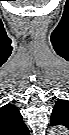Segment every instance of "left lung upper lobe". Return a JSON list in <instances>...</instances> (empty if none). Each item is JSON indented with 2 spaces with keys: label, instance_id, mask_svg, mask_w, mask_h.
I'll return each mask as SVG.
<instances>
[{
  "label": "left lung upper lobe",
  "instance_id": "5c2ea615",
  "mask_svg": "<svg viewBox=\"0 0 69 135\" xmlns=\"http://www.w3.org/2000/svg\"><path fill=\"white\" fill-rule=\"evenodd\" d=\"M68 102L66 100H58L53 108L51 115V124L55 125L58 119H62L66 114Z\"/></svg>",
  "mask_w": 69,
  "mask_h": 135
}]
</instances>
